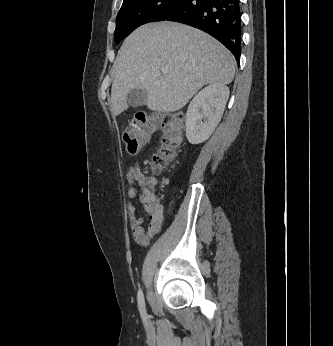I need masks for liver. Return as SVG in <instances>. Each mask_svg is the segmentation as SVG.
<instances>
[{"mask_svg": "<svg viewBox=\"0 0 333 346\" xmlns=\"http://www.w3.org/2000/svg\"><path fill=\"white\" fill-rule=\"evenodd\" d=\"M113 71V115L127 110V94L133 89L147 92L144 103L150 110L169 113L182 109L204 85L231 83L235 59L203 31L161 22L143 25L125 39Z\"/></svg>", "mask_w": 333, "mask_h": 346, "instance_id": "obj_1", "label": "liver"}]
</instances>
